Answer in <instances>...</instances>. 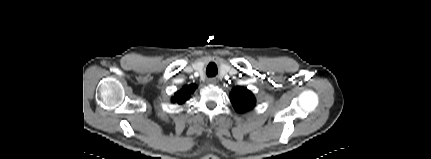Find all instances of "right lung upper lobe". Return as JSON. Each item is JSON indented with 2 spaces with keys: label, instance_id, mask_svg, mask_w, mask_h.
Instances as JSON below:
<instances>
[{
  "label": "right lung upper lobe",
  "instance_id": "right-lung-upper-lobe-1",
  "mask_svg": "<svg viewBox=\"0 0 431 159\" xmlns=\"http://www.w3.org/2000/svg\"><path fill=\"white\" fill-rule=\"evenodd\" d=\"M196 88V85H189L183 87V89L175 94V97L173 98V101L177 103H183L187 98L190 96V94L194 91Z\"/></svg>",
  "mask_w": 431,
  "mask_h": 159
}]
</instances>
